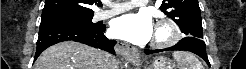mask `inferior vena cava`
Wrapping results in <instances>:
<instances>
[{"mask_svg":"<svg viewBox=\"0 0 246 69\" xmlns=\"http://www.w3.org/2000/svg\"><path fill=\"white\" fill-rule=\"evenodd\" d=\"M108 58H109L110 62L107 65L106 69H113L114 68L113 66L116 64V59L114 56H112L110 54H108Z\"/></svg>","mask_w":246,"mask_h":69,"instance_id":"inferior-vena-cava-1","label":"inferior vena cava"}]
</instances>
